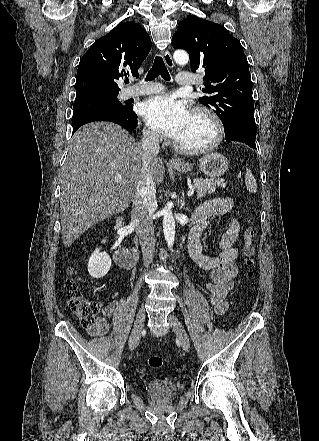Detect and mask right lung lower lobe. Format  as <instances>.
I'll return each mask as SVG.
<instances>
[{"label":"right lung lower lobe","mask_w":319,"mask_h":441,"mask_svg":"<svg viewBox=\"0 0 319 441\" xmlns=\"http://www.w3.org/2000/svg\"><path fill=\"white\" fill-rule=\"evenodd\" d=\"M132 107V106H131ZM94 121H110L114 122L128 131H133L137 126V116L132 111V113L128 117L120 116L117 113L110 112V111H98V112H91V113H85L82 115H79L72 119V125H73V133L82 125Z\"/></svg>","instance_id":"obj_1"}]
</instances>
